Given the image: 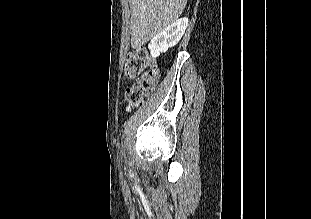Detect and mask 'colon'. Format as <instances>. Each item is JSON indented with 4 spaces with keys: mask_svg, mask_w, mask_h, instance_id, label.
I'll return each instance as SVG.
<instances>
[{
    "mask_svg": "<svg viewBox=\"0 0 311 219\" xmlns=\"http://www.w3.org/2000/svg\"><path fill=\"white\" fill-rule=\"evenodd\" d=\"M123 77L136 80L126 88L125 98L128 108L138 107L152 92L159 78L158 67L145 47H139L127 56Z\"/></svg>",
    "mask_w": 311,
    "mask_h": 219,
    "instance_id": "colon-1",
    "label": "colon"
}]
</instances>
